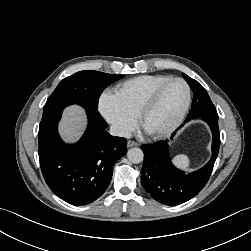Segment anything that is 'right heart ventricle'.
I'll use <instances>...</instances> for the list:
<instances>
[{"label":"right heart ventricle","mask_w":251,"mask_h":251,"mask_svg":"<svg viewBox=\"0 0 251 251\" xmlns=\"http://www.w3.org/2000/svg\"><path fill=\"white\" fill-rule=\"evenodd\" d=\"M171 76L155 74L128 79L115 88V94L125 107L137 116L139 109L152 91Z\"/></svg>","instance_id":"1"}]
</instances>
